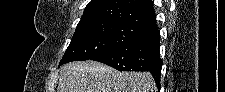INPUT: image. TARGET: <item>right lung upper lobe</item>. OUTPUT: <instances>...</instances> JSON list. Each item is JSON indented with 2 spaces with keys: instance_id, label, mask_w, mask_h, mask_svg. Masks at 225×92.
<instances>
[{
  "instance_id": "obj_1",
  "label": "right lung upper lobe",
  "mask_w": 225,
  "mask_h": 92,
  "mask_svg": "<svg viewBox=\"0 0 225 92\" xmlns=\"http://www.w3.org/2000/svg\"><path fill=\"white\" fill-rule=\"evenodd\" d=\"M155 18L151 0H92L77 26L117 22L145 33L158 28Z\"/></svg>"
}]
</instances>
